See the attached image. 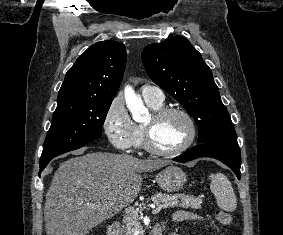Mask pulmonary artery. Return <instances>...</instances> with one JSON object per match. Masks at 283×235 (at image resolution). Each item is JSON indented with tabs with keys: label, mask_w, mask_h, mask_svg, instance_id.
Returning <instances> with one entry per match:
<instances>
[{
	"label": "pulmonary artery",
	"mask_w": 283,
	"mask_h": 235,
	"mask_svg": "<svg viewBox=\"0 0 283 235\" xmlns=\"http://www.w3.org/2000/svg\"><path fill=\"white\" fill-rule=\"evenodd\" d=\"M141 93L145 100H150L158 103H161L164 100L163 91L157 86L144 85L141 88Z\"/></svg>",
	"instance_id": "e3ab8cb5"
}]
</instances>
